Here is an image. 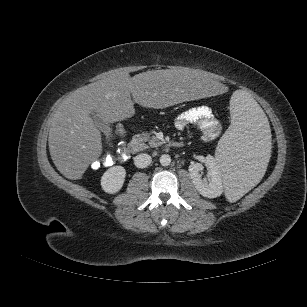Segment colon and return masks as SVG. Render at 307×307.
I'll return each instance as SVG.
<instances>
[{
    "label": "colon",
    "instance_id": "1",
    "mask_svg": "<svg viewBox=\"0 0 307 307\" xmlns=\"http://www.w3.org/2000/svg\"><path fill=\"white\" fill-rule=\"evenodd\" d=\"M117 135L122 137L117 146L110 152L103 154L101 157L92 162L91 166L94 169L100 167H110L126 159L127 156V144L124 140L126 131L122 125H117L115 128Z\"/></svg>",
    "mask_w": 307,
    "mask_h": 307
}]
</instances>
